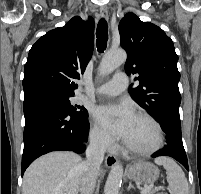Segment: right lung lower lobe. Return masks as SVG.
<instances>
[{"label":"right lung lower lobe","instance_id":"obj_1","mask_svg":"<svg viewBox=\"0 0 201 194\" xmlns=\"http://www.w3.org/2000/svg\"><path fill=\"white\" fill-rule=\"evenodd\" d=\"M24 151L22 175L39 156L52 151L82 153L88 141L89 123L43 96L24 100Z\"/></svg>","mask_w":201,"mask_h":194}]
</instances>
